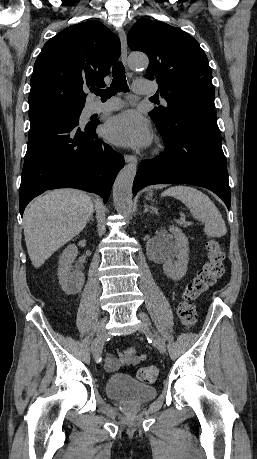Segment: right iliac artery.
Listing matches in <instances>:
<instances>
[{
	"label": "right iliac artery",
	"mask_w": 257,
	"mask_h": 459,
	"mask_svg": "<svg viewBox=\"0 0 257 459\" xmlns=\"http://www.w3.org/2000/svg\"><path fill=\"white\" fill-rule=\"evenodd\" d=\"M97 339L95 338L93 343H92V348L95 346Z\"/></svg>",
	"instance_id": "right-iliac-artery-1"
}]
</instances>
